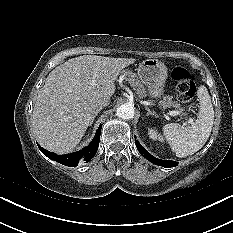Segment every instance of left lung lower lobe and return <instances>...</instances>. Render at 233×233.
I'll use <instances>...</instances> for the list:
<instances>
[{"instance_id":"1","label":"left lung lower lobe","mask_w":233,"mask_h":233,"mask_svg":"<svg viewBox=\"0 0 233 233\" xmlns=\"http://www.w3.org/2000/svg\"><path fill=\"white\" fill-rule=\"evenodd\" d=\"M136 147L138 149V151L140 152V154L145 157L146 159H148L150 162L159 165V166H163V167H175L178 165L177 162L175 161H168V160H160L155 158L154 156H152L150 153H148L142 146L141 144L136 141Z\"/></svg>"}]
</instances>
